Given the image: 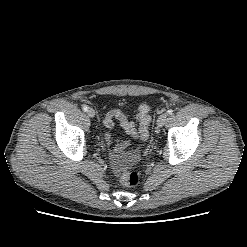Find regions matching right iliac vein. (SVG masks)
<instances>
[{
  "label": "right iliac vein",
  "mask_w": 247,
  "mask_h": 247,
  "mask_svg": "<svg viewBox=\"0 0 247 247\" xmlns=\"http://www.w3.org/2000/svg\"><path fill=\"white\" fill-rule=\"evenodd\" d=\"M87 115H88L89 117L93 118V117L95 116V110L92 109V108H89V109L87 110Z\"/></svg>",
  "instance_id": "right-iliac-vein-1"
}]
</instances>
